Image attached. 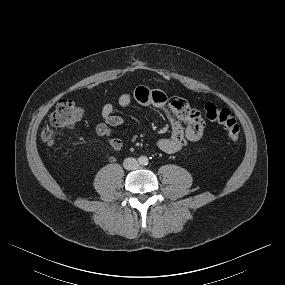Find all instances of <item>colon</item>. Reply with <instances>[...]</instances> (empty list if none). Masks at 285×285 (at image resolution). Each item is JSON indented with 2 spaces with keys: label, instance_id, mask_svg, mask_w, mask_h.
<instances>
[{
  "label": "colon",
  "instance_id": "5ec220e1",
  "mask_svg": "<svg viewBox=\"0 0 285 285\" xmlns=\"http://www.w3.org/2000/svg\"><path fill=\"white\" fill-rule=\"evenodd\" d=\"M204 114L208 120L221 124L232 142L240 141L241 126L230 109L219 107L214 103H207L204 105ZM82 116V109L74 101L60 100L50 115L48 126L42 132L43 141L52 145L61 130L72 128L81 120Z\"/></svg>",
  "mask_w": 285,
  "mask_h": 285
}]
</instances>
